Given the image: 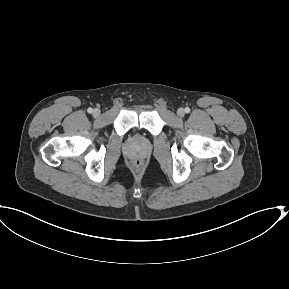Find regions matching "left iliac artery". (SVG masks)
I'll return each mask as SVG.
<instances>
[{"instance_id": "left-iliac-artery-1", "label": "left iliac artery", "mask_w": 289, "mask_h": 289, "mask_svg": "<svg viewBox=\"0 0 289 289\" xmlns=\"http://www.w3.org/2000/svg\"><path fill=\"white\" fill-rule=\"evenodd\" d=\"M185 112H186V113H189V112H190V108H189V107H186V108H185Z\"/></svg>"}]
</instances>
